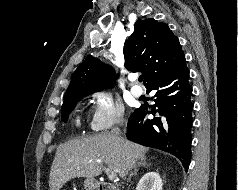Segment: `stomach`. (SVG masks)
Returning <instances> with one entry per match:
<instances>
[{"label": "stomach", "instance_id": "1", "mask_svg": "<svg viewBox=\"0 0 238 190\" xmlns=\"http://www.w3.org/2000/svg\"><path fill=\"white\" fill-rule=\"evenodd\" d=\"M97 187V181L95 179L87 178L84 181L85 190H95Z\"/></svg>", "mask_w": 238, "mask_h": 190}]
</instances>
